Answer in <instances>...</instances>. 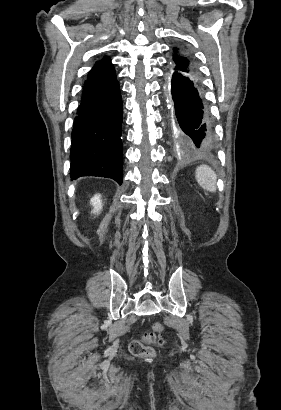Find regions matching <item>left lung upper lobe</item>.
Segmentation results:
<instances>
[{
    "mask_svg": "<svg viewBox=\"0 0 281 410\" xmlns=\"http://www.w3.org/2000/svg\"><path fill=\"white\" fill-rule=\"evenodd\" d=\"M174 51L171 70L199 78V71L194 60L184 51H180L177 48H175Z\"/></svg>",
    "mask_w": 281,
    "mask_h": 410,
    "instance_id": "left-lung-upper-lobe-1",
    "label": "left lung upper lobe"
}]
</instances>
